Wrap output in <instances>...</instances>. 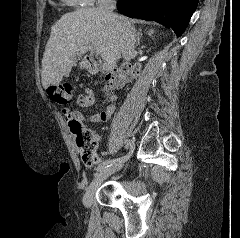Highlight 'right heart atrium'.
I'll list each match as a JSON object with an SVG mask.
<instances>
[{"instance_id":"1","label":"right heart atrium","mask_w":240,"mask_h":238,"mask_svg":"<svg viewBox=\"0 0 240 238\" xmlns=\"http://www.w3.org/2000/svg\"><path fill=\"white\" fill-rule=\"evenodd\" d=\"M86 5H93L96 2H99L101 0H83Z\"/></svg>"}]
</instances>
